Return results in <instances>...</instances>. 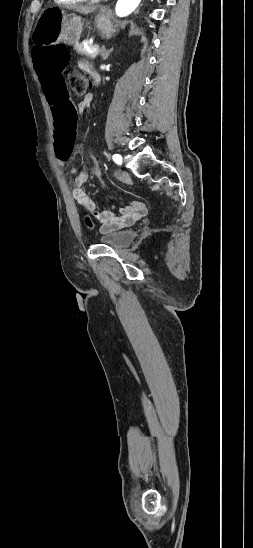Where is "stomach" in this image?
Returning <instances> with one entry per match:
<instances>
[{
    "label": "stomach",
    "mask_w": 253,
    "mask_h": 548,
    "mask_svg": "<svg viewBox=\"0 0 253 548\" xmlns=\"http://www.w3.org/2000/svg\"><path fill=\"white\" fill-rule=\"evenodd\" d=\"M95 28L103 37H110L116 32L106 12H101L96 16ZM82 30L81 17L74 14L68 15L61 9H50L39 17L34 31V41L43 45L60 42L73 45L79 42Z\"/></svg>",
    "instance_id": "0dacf381"
}]
</instances>
